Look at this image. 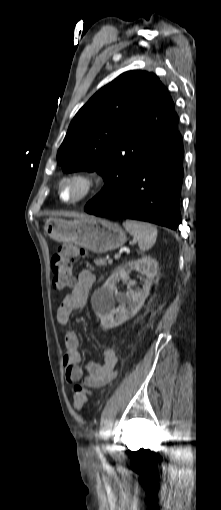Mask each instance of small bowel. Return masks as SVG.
<instances>
[{
    "instance_id": "1",
    "label": "small bowel",
    "mask_w": 221,
    "mask_h": 510,
    "mask_svg": "<svg viewBox=\"0 0 221 510\" xmlns=\"http://www.w3.org/2000/svg\"><path fill=\"white\" fill-rule=\"evenodd\" d=\"M94 282L95 275L91 270L83 269L79 272L76 282L63 298L57 310V320L61 325L68 324L72 313L84 307ZM65 346L66 353L63 359L65 377L68 382H76L83 374L82 358L79 352L80 338L77 332L71 330L65 334ZM102 358V363L90 361L86 366L88 374L84 378V383L89 387H103L116 375L117 355L115 351L113 349L104 350Z\"/></svg>"
}]
</instances>
